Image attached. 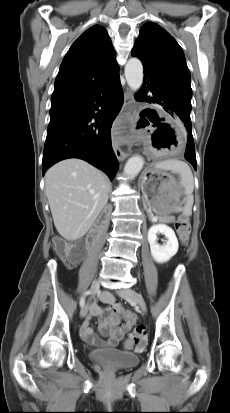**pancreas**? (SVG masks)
Returning a JSON list of instances; mask_svg holds the SVG:
<instances>
[{
  "label": "pancreas",
  "instance_id": "pancreas-1",
  "mask_svg": "<svg viewBox=\"0 0 230 413\" xmlns=\"http://www.w3.org/2000/svg\"><path fill=\"white\" fill-rule=\"evenodd\" d=\"M163 221H164V222H167V223H171V222L174 221V217H172V216L166 217V218L163 219Z\"/></svg>",
  "mask_w": 230,
  "mask_h": 413
}]
</instances>
